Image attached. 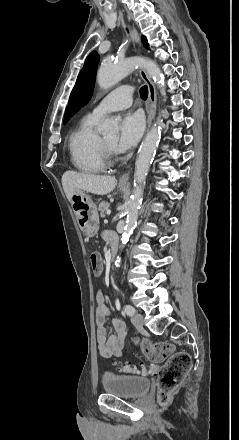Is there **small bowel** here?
Here are the masks:
<instances>
[{"mask_svg":"<svg viewBox=\"0 0 239 440\" xmlns=\"http://www.w3.org/2000/svg\"><path fill=\"white\" fill-rule=\"evenodd\" d=\"M105 239L109 242H116V237L113 233L107 232L104 234ZM96 327H97V344L98 350L103 358L119 357L122 354V349L125 343L126 327L125 324L117 319L112 320L114 333L107 334L105 328L106 319L109 316V311L105 304L104 291L98 288L96 291Z\"/></svg>","mask_w":239,"mask_h":440,"instance_id":"1","label":"small bowel"}]
</instances>
